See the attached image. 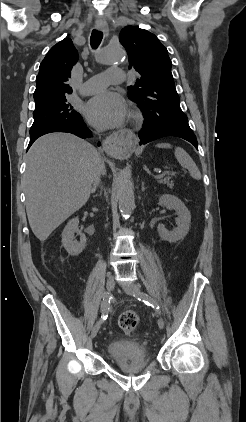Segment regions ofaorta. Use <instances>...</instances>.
I'll return each instance as SVG.
<instances>
[{
    "mask_svg": "<svg viewBox=\"0 0 246 422\" xmlns=\"http://www.w3.org/2000/svg\"><path fill=\"white\" fill-rule=\"evenodd\" d=\"M97 59L104 64L121 63L125 59V52L120 46L107 45L100 50ZM118 198L121 215L128 218L135 207V199L132 182L125 172L118 179Z\"/></svg>",
    "mask_w": 246,
    "mask_h": 422,
    "instance_id": "762f6f07",
    "label": "aorta"
}]
</instances>
